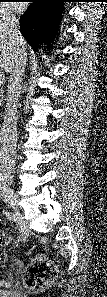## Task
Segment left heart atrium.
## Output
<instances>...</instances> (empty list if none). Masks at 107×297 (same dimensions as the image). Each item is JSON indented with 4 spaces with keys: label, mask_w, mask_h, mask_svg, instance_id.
Segmentation results:
<instances>
[{
    "label": "left heart atrium",
    "mask_w": 107,
    "mask_h": 297,
    "mask_svg": "<svg viewBox=\"0 0 107 297\" xmlns=\"http://www.w3.org/2000/svg\"><path fill=\"white\" fill-rule=\"evenodd\" d=\"M11 6H12V9H14L17 12H21L24 9V5L21 3H13L11 4Z\"/></svg>",
    "instance_id": "left-heart-atrium-1"
}]
</instances>
